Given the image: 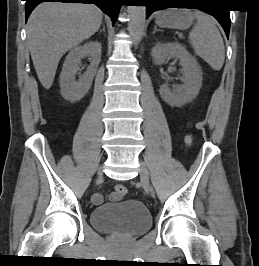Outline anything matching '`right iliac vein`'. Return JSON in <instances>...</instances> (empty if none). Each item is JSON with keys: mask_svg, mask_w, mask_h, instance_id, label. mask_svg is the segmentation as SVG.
<instances>
[{"mask_svg": "<svg viewBox=\"0 0 259 266\" xmlns=\"http://www.w3.org/2000/svg\"><path fill=\"white\" fill-rule=\"evenodd\" d=\"M102 175H103V173H102V168H99V169H98V172H97V177H98V179H101V178H102Z\"/></svg>", "mask_w": 259, "mask_h": 266, "instance_id": "obj_1", "label": "right iliac vein"}]
</instances>
